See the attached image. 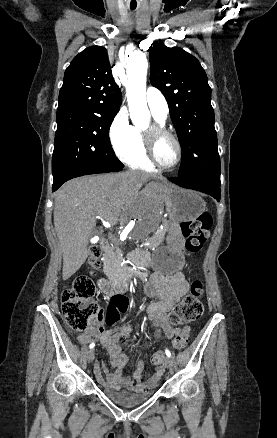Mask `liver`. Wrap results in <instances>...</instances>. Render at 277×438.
<instances>
[{"mask_svg":"<svg viewBox=\"0 0 277 438\" xmlns=\"http://www.w3.org/2000/svg\"><path fill=\"white\" fill-rule=\"evenodd\" d=\"M154 178L158 176L136 170L94 174L70 180L55 192L53 218L63 254V280L71 278L86 262L97 216L111 220L115 210L125 214V205H134L137 188Z\"/></svg>","mask_w":277,"mask_h":438,"instance_id":"6515ba94","label":"liver"}]
</instances>
